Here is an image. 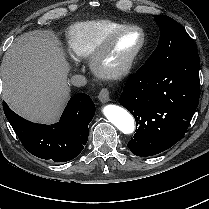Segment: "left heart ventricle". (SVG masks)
Instances as JSON below:
<instances>
[{
	"mask_svg": "<svg viewBox=\"0 0 209 209\" xmlns=\"http://www.w3.org/2000/svg\"><path fill=\"white\" fill-rule=\"evenodd\" d=\"M141 43V34L137 31L126 32L120 35L106 60L110 67H116L125 61Z\"/></svg>",
	"mask_w": 209,
	"mask_h": 209,
	"instance_id": "left-heart-ventricle-1",
	"label": "left heart ventricle"
}]
</instances>
